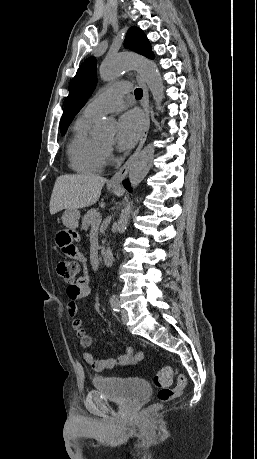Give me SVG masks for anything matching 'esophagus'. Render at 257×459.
<instances>
[{
	"instance_id": "34e87169",
	"label": "esophagus",
	"mask_w": 257,
	"mask_h": 459,
	"mask_svg": "<svg viewBox=\"0 0 257 459\" xmlns=\"http://www.w3.org/2000/svg\"><path fill=\"white\" fill-rule=\"evenodd\" d=\"M136 79H137L140 87L143 90V98H142L141 104H142V107H143V110H144V113H145V126H144V130H143L140 142H139L136 150L127 159V161L124 163V165L109 180L108 184H110L112 186H120L122 180L126 177L132 161L135 159L137 154L140 152V150L142 149V147H143V145H144V143L146 141V138H147V135H148V131H149V127H150V109H149L148 89H147V86H146L144 80L142 79V77L139 74L136 75Z\"/></svg>"
}]
</instances>
